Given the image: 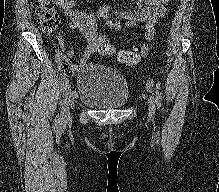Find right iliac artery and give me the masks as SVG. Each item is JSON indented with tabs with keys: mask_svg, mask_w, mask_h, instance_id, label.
I'll list each match as a JSON object with an SVG mask.
<instances>
[{
	"mask_svg": "<svg viewBox=\"0 0 219 192\" xmlns=\"http://www.w3.org/2000/svg\"><path fill=\"white\" fill-rule=\"evenodd\" d=\"M69 84V80L68 79H64L61 83V90L66 89V87ZM60 104H62V101L60 102Z\"/></svg>",
	"mask_w": 219,
	"mask_h": 192,
	"instance_id": "obj_1",
	"label": "right iliac artery"
}]
</instances>
